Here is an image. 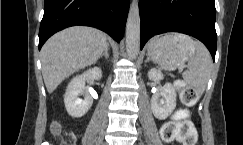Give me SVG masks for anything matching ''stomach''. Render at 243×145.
<instances>
[{"instance_id":"1","label":"stomach","mask_w":243,"mask_h":145,"mask_svg":"<svg viewBox=\"0 0 243 145\" xmlns=\"http://www.w3.org/2000/svg\"><path fill=\"white\" fill-rule=\"evenodd\" d=\"M194 53L193 40L181 34H167L148 45V56L167 70L181 67Z\"/></svg>"}]
</instances>
